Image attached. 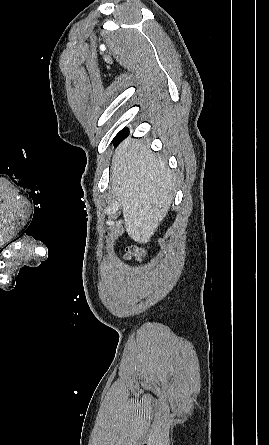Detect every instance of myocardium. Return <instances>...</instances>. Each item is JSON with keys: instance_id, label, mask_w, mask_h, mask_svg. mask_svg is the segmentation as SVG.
<instances>
[{"instance_id": "f54148a6", "label": "myocardium", "mask_w": 269, "mask_h": 445, "mask_svg": "<svg viewBox=\"0 0 269 445\" xmlns=\"http://www.w3.org/2000/svg\"><path fill=\"white\" fill-rule=\"evenodd\" d=\"M5 241H6V239H4V240H1V241H0V245H1V243H4Z\"/></svg>"}]
</instances>
